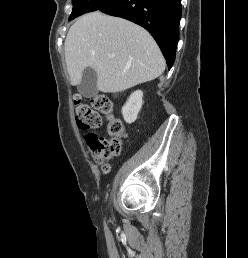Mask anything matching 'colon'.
<instances>
[{
  "label": "colon",
  "instance_id": "obj_1",
  "mask_svg": "<svg viewBox=\"0 0 248 258\" xmlns=\"http://www.w3.org/2000/svg\"><path fill=\"white\" fill-rule=\"evenodd\" d=\"M76 121L83 129H95L101 126L103 114L107 117V131L109 137H97L89 134L86 137L92 155L102 163L104 171L109 166L105 160L117 157L122 150L123 140L126 137V130L122 122L114 116V106L111 100L102 95H95L91 99V106L84 103L79 95L73 98Z\"/></svg>",
  "mask_w": 248,
  "mask_h": 258
}]
</instances>
